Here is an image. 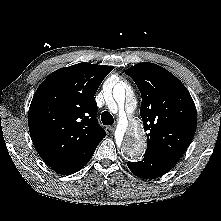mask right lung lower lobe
Segmentation results:
<instances>
[{
	"label": "right lung lower lobe",
	"instance_id": "obj_1",
	"mask_svg": "<svg viewBox=\"0 0 221 221\" xmlns=\"http://www.w3.org/2000/svg\"><path fill=\"white\" fill-rule=\"evenodd\" d=\"M101 141L95 142L72 157L51 166V169L62 175H69L79 171L91 159L95 149Z\"/></svg>",
	"mask_w": 221,
	"mask_h": 221
}]
</instances>
